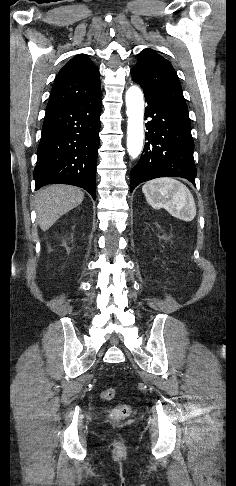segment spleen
<instances>
[{
    "instance_id": "obj_1",
    "label": "spleen",
    "mask_w": 236,
    "mask_h": 486,
    "mask_svg": "<svg viewBox=\"0 0 236 486\" xmlns=\"http://www.w3.org/2000/svg\"><path fill=\"white\" fill-rule=\"evenodd\" d=\"M142 191L154 208L164 207L171 215L183 221L196 216V205L190 190L172 178H159L145 183Z\"/></svg>"
}]
</instances>
